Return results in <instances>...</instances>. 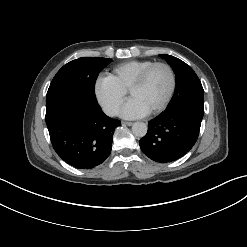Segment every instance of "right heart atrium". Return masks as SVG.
Masks as SVG:
<instances>
[{"mask_svg":"<svg viewBox=\"0 0 247 247\" xmlns=\"http://www.w3.org/2000/svg\"><path fill=\"white\" fill-rule=\"evenodd\" d=\"M95 97L108 115H115L125 100L126 91L120 88L110 76H100L94 83Z\"/></svg>","mask_w":247,"mask_h":247,"instance_id":"1","label":"right heart atrium"}]
</instances>
